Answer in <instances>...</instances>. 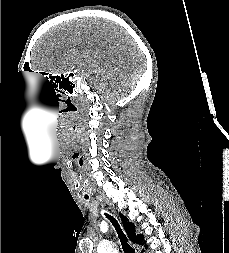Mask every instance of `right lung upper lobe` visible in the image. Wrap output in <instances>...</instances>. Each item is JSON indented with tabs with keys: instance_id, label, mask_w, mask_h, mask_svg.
<instances>
[{
	"instance_id": "cb5924a9",
	"label": "right lung upper lobe",
	"mask_w": 229,
	"mask_h": 253,
	"mask_svg": "<svg viewBox=\"0 0 229 253\" xmlns=\"http://www.w3.org/2000/svg\"><path fill=\"white\" fill-rule=\"evenodd\" d=\"M121 217V221H122V224H123V227L128 235V237L130 238V240L134 243H137V244H140V245H143L142 243V240H143V235L139 234V235H136L135 234V226L134 224L130 223L128 221V218L124 215H120Z\"/></svg>"
}]
</instances>
